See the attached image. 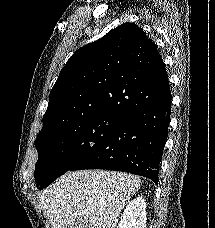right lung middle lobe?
Masks as SVG:
<instances>
[{
	"instance_id": "obj_1",
	"label": "right lung middle lobe",
	"mask_w": 215,
	"mask_h": 228,
	"mask_svg": "<svg viewBox=\"0 0 215 228\" xmlns=\"http://www.w3.org/2000/svg\"><path fill=\"white\" fill-rule=\"evenodd\" d=\"M123 118L119 115L102 114L40 132L35 141L38 161L34 174L40 189L47 187L55 179L69 171Z\"/></svg>"
}]
</instances>
